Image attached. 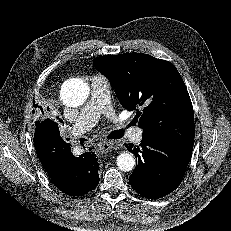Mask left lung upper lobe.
I'll list each match as a JSON object with an SVG mask.
<instances>
[{"label":"left lung upper lobe","mask_w":231,"mask_h":231,"mask_svg":"<svg viewBox=\"0 0 231 231\" xmlns=\"http://www.w3.org/2000/svg\"><path fill=\"white\" fill-rule=\"evenodd\" d=\"M93 65L110 78L121 104L136 110L143 138L173 147L193 148L194 112L176 67L143 53L100 56Z\"/></svg>","instance_id":"left-lung-upper-lobe-1"}]
</instances>
